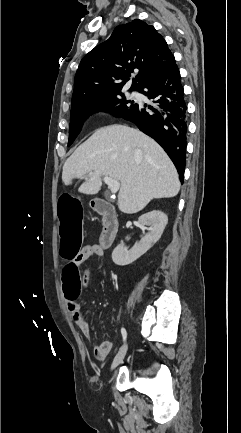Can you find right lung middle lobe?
<instances>
[{
	"label": "right lung middle lobe",
	"instance_id": "1",
	"mask_svg": "<svg viewBox=\"0 0 241 433\" xmlns=\"http://www.w3.org/2000/svg\"><path fill=\"white\" fill-rule=\"evenodd\" d=\"M121 96H123V93L120 92L111 96L84 100L73 104L70 114L68 146L74 142L80 133L86 118L94 112H109L117 117L128 115L137 104L125 98H121Z\"/></svg>",
	"mask_w": 241,
	"mask_h": 433
}]
</instances>
